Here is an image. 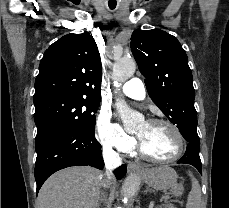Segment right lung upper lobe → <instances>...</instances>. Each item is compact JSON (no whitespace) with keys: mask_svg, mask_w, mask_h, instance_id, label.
<instances>
[{"mask_svg":"<svg viewBox=\"0 0 229 208\" xmlns=\"http://www.w3.org/2000/svg\"><path fill=\"white\" fill-rule=\"evenodd\" d=\"M102 66L93 37L68 34L53 43L40 61L33 100L71 95L100 101Z\"/></svg>","mask_w":229,"mask_h":208,"instance_id":"obj_1","label":"right lung upper lobe"}]
</instances>
